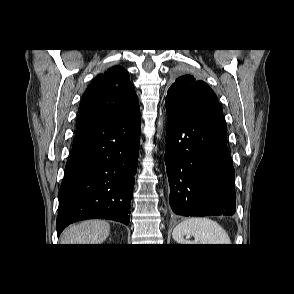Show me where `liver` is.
I'll list each match as a JSON object with an SVG mask.
<instances>
[{
  "label": "liver",
  "mask_w": 294,
  "mask_h": 294,
  "mask_svg": "<svg viewBox=\"0 0 294 294\" xmlns=\"http://www.w3.org/2000/svg\"><path fill=\"white\" fill-rule=\"evenodd\" d=\"M110 233L104 220H87L69 226L61 236V244H102Z\"/></svg>",
  "instance_id": "6515ba94"
}]
</instances>
